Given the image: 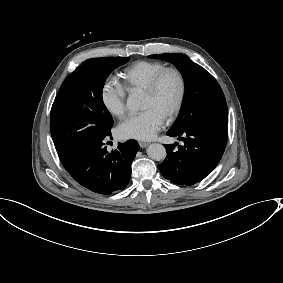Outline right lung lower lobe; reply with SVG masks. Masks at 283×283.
Listing matches in <instances>:
<instances>
[{
  "label": "right lung lower lobe",
  "mask_w": 283,
  "mask_h": 283,
  "mask_svg": "<svg viewBox=\"0 0 283 283\" xmlns=\"http://www.w3.org/2000/svg\"><path fill=\"white\" fill-rule=\"evenodd\" d=\"M98 136L86 141L61 162L68 173L85 188L100 194L123 190L129 183L131 164L139 150L135 140L118 144V149L108 153L104 139Z\"/></svg>",
  "instance_id": "right-lung-lower-lobe-1"
}]
</instances>
